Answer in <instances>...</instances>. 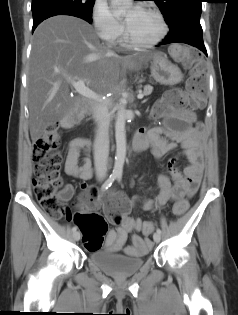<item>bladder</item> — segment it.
I'll list each match as a JSON object with an SVG mask.
<instances>
[{
  "mask_svg": "<svg viewBox=\"0 0 238 315\" xmlns=\"http://www.w3.org/2000/svg\"><path fill=\"white\" fill-rule=\"evenodd\" d=\"M88 259L100 270L115 277L133 275L145 264L144 257L114 254L109 251L98 249L90 250Z\"/></svg>",
  "mask_w": 238,
  "mask_h": 315,
  "instance_id": "obj_1",
  "label": "bladder"
}]
</instances>
